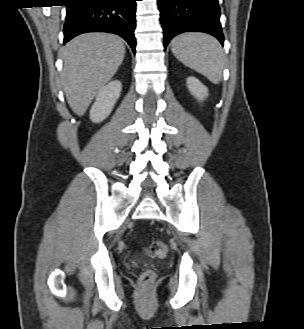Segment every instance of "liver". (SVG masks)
<instances>
[{
  "label": "liver",
  "instance_id": "obj_1",
  "mask_svg": "<svg viewBox=\"0 0 304 329\" xmlns=\"http://www.w3.org/2000/svg\"><path fill=\"white\" fill-rule=\"evenodd\" d=\"M125 55L120 37L108 33H85L63 50V89L69 106L82 116L93 98L114 76Z\"/></svg>",
  "mask_w": 304,
  "mask_h": 329
}]
</instances>
